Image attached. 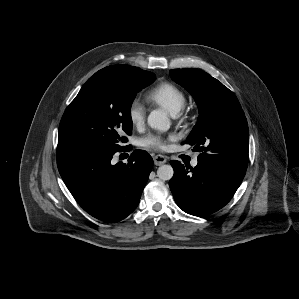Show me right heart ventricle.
I'll list each match as a JSON object with an SVG mask.
<instances>
[{"label": "right heart ventricle", "mask_w": 299, "mask_h": 299, "mask_svg": "<svg viewBox=\"0 0 299 299\" xmlns=\"http://www.w3.org/2000/svg\"><path fill=\"white\" fill-rule=\"evenodd\" d=\"M147 99L172 115L177 114L186 104V94L178 86L170 82H162L147 93Z\"/></svg>", "instance_id": "right-heart-ventricle-1"}]
</instances>
